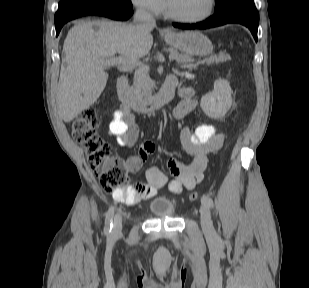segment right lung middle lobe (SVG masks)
Wrapping results in <instances>:
<instances>
[{
  "label": "right lung middle lobe",
  "instance_id": "obj_1",
  "mask_svg": "<svg viewBox=\"0 0 309 288\" xmlns=\"http://www.w3.org/2000/svg\"><path fill=\"white\" fill-rule=\"evenodd\" d=\"M97 1L131 4L130 0H61V2L59 3L58 11L55 14V20L59 19L71 10L76 9L84 4Z\"/></svg>",
  "mask_w": 309,
  "mask_h": 288
}]
</instances>
